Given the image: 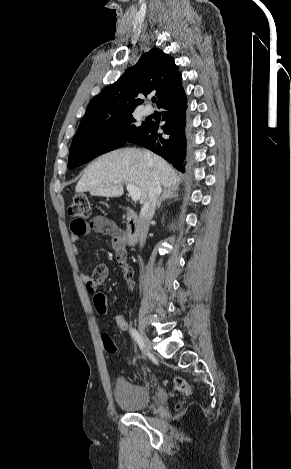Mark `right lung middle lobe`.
I'll return each mask as SVG.
<instances>
[{
	"label": "right lung middle lobe",
	"mask_w": 291,
	"mask_h": 469,
	"mask_svg": "<svg viewBox=\"0 0 291 469\" xmlns=\"http://www.w3.org/2000/svg\"><path fill=\"white\" fill-rule=\"evenodd\" d=\"M132 112L116 116L81 121L73 138L68 158V168H75L91 159L120 147L137 127ZM122 131V136L116 133Z\"/></svg>",
	"instance_id": "dd1d6c3e"
}]
</instances>
